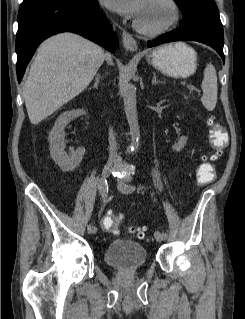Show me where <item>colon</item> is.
Wrapping results in <instances>:
<instances>
[{"instance_id": "5ec220e1", "label": "colon", "mask_w": 245, "mask_h": 319, "mask_svg": "<svg viewBox=\"0 0 245 319\" xmlns=\"http://www.w3.org/2000/svg\"><path fill=\"white\" fill-rule=\"evenodd\" d=\"M206 125L209 129V142L213 154L209 157H204V159L213 160L216 159L226 148L228 138L225 129L215 120L214 117H208L206 120ZM215 175V167L209 161H205L204 163H202L196 171V178L200 184H208L212 182L215 178ZM122 219V214H108L102 220V227L107 232L118 234L119 224ZM129 231L135 237H144V229L141 227H132L129 229Z\"/></svg>"}]
</instances>
